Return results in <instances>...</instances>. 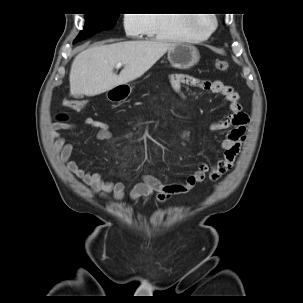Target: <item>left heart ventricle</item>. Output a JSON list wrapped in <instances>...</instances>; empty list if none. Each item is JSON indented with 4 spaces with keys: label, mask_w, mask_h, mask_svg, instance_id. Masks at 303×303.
Returning <instances> with one entry per match:
<instances>
[{
    "label": "left heart ventricle",
    "mask_w": 303,
    "mask_h": 303,
    "mask_svg": "<svg viewBox=\"0 0 303 303\" xmlns=\"http://www.w3.org/2000/svg\"><path fill=\"white\" fill-rule=\"evenodd\" d=\"M212 26V21L210 20V18L208 16H203L201 17V19L199 20V22L196 25V28L200 31H208Z\"/></svg>",
    "instance_id": "b2bd125f"
}]
</instances>
